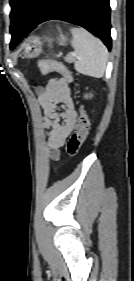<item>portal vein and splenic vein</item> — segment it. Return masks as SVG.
Here are the masks:
<instances>
[{"mask_svg":"<svg viewBox=\"0 0 134 281\" xmlns=\"http://www.w3.org/2000/svg\"><path fill=\"white\" fill-rule=\"evenodd\" d=\"M72 56H75L76 54L74 52L71 53Z\"/></svg>","mask_w":134,"mask_h":281,"instance_id":"portal-vein-and-splenic-vein-1","label":"portal vein and splenic vein"}]
</instances>
